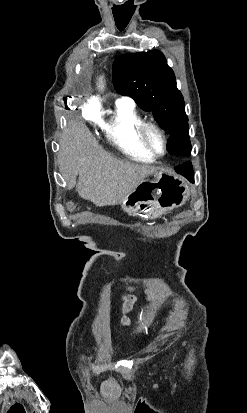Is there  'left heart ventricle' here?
Here are the masks:
<instances>
[{"label":"left heart ventricle","instance_id":"1","mask_svg":"<svg viewBox=\"0 0 247 413\" xmlns=\"http://www.w3.org/2000/svg\"><path fill=\"white\" fill-rule=\"evenodd\" d=\"M145 139L147 144L156 152L161 153L164 148L162 137L155 130L149 129L145 132Z\"/></svg>","mask_w":247,"mask_h":413}]
</instances>
